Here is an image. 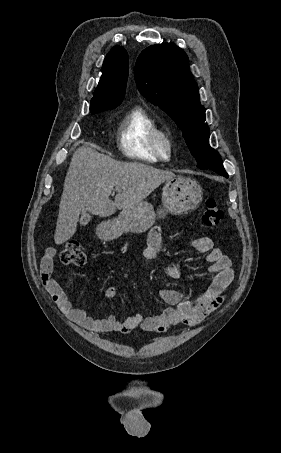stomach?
<instances>
[{
  "mask_svg": "<svg viewBox=\"0 0 281 453\" xmlns=\"http://www.w3.org/2000/svg\"><path fill=\"white\" fill-rule=\"evenodd\" d=\"M202 194V186L197 180L189 176H175L166 180L162 188L163 206L157 210V214L150 202L141 200L131 208H122L117 218L101 222L97 235L102 241H112L123 233H146L153 227L157 216L164 218L167 212L184 214L195 210L203 198Z\"/></svg>",
  "mask_w": 281,
  "mask_h": 453,
  "instance_id": "obj_1",
  "label": "stomach"
}]
</instances>
